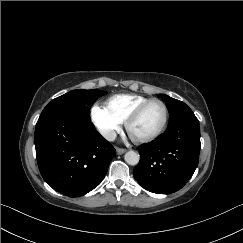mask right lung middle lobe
Returning a JSON list of instances; mask_svg holds the SVG:
<instances>
[{
	"instance_id": "1",
	"label": "right lung middle lobe",
	"mask_w": 243,
	"mask_h": 243,
	"mask_svg": "<svg viewBox=\"0 0 243 243\" xmlns=\"http://www.w3.org/2000/svg\"><path fill=\"white\" fill-rule=\"evenodd\" d=\"M107 92L102 90H73L53 99L42 111L38 120L53 115H67L85 120L90 119V108Z\"/></svg>"
}]
</instances>
